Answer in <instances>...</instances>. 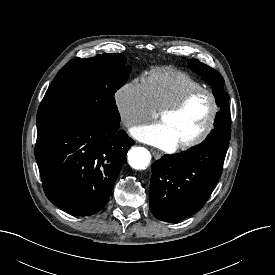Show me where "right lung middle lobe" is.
<instances>
[{
    "instance_id": "obj_1",
    "label": "right lung middle lobe",
    "mask_w": 275,
    "mask_h": 275,
    "mask_svg": "<svg viewBox=\"0 0 275 275\" xmlns=\"http://www.w3.org/2000/svg\"><path fill=\"white\" fill-rule=\"evenodd\" d=\"M131 66L119 53L75 58L56 75L37 113V135L66 123L91 120L119 126L114 94Z\"/></svg>"
}]
</instances>
